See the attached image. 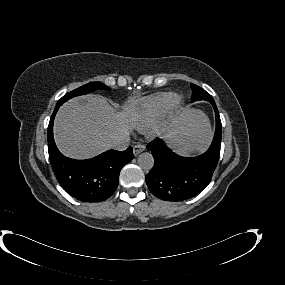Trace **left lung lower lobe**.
Returning a JSON list of instances; mask_svg holds the SVG:
<instances>
[{
	"label": "left lung lower lobe",
	"mask_w": 285,
	"mask_h": 285,
	"mask_svg": "<svg viewBox=\"0 0 285 285\" xmlns=\"http://www.w3.org/2000/svg\"><path fill=\"white\" fill-rule=\"evenodd\" d=\"M216 131L207 152L194 158L181 157L163 141L147 145L154 157V166L146 175V184L156 197L165 201H183L198 195L211 181L220 156L221 120L214 100Z\"/></svg>",
	"instance_id": "left-lung-lower-lobe-1"
}]
</instances>
